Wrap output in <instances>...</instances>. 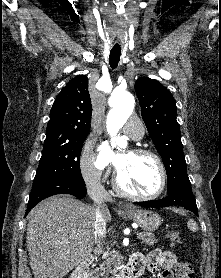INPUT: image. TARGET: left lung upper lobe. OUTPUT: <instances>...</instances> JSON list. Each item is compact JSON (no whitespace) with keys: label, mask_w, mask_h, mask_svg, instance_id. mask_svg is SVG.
<instances>
[{"label":"left lung upper lobe","mask_w":221,"mask_h":278,"mask_svg":"<svg viewBox=\"0 0 221 278\" xmlns=\"http://www.w3.org/2000/svg\"><path fill=\"white\" fill-rule=\"evenodd\" d=\"M135 90L142 118L167 172L169 193L180 183L189 181L175 100L170 91L154 79H137Z\"/></svg>","instance_id":"left-lung-upper-lobe-1"}]
</instances>
